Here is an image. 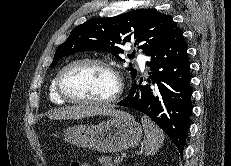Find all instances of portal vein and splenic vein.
Wrapping results in <instances>:
<instances>
[{
  "mask_svg": "<svg viewBox=\"0 0 231 166\" xmlns=\"http://www.w3.org/2000/svg\"><path fill=\"white\" fill-rule=\"evenodd\" d=\"M122 157H123V155H122ZM122 157H118V159L122 160Z\"/></svg>",
  "mask_w": 231,
  "mask_h": 166,
  "instance_id": "portal-vein-and-splenic-vein-1",
  "label": "portal vein and splenic vein"
}]
</instances>
